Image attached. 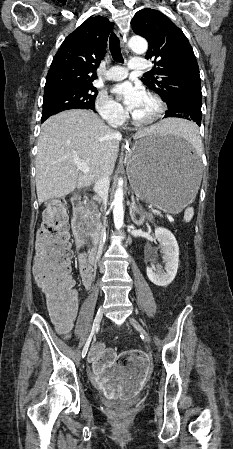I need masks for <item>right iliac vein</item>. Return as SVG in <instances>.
Returning a JSON list of instances; mask_svg holds the SVG:
<instances>
[{
  "label": "right iliac vein",
  "instance_id": "right-iliac-vein-1",
  "mask_svg": "<svg viewBox=\"0 0 233 449\" xmlns=\"http://www.w3.org/2000/svg\"><path fill=\"white\" fill-rule=\"evenodd\" d=\"M102 317H103V308H100V309L98 310L97 314H96V317H95V320H94V323H93L92 330L94 329V326H95V330H96V328L99 326V323H100L101 320H102ZM95 330H94V331H95ZM88 340H89V338L87 339L86 344H87ZM86 344H85V345H86ZM84 347H85V346H84Z\"/></svg>",
  "mask_w": 233,
  "mask_h": 449
}]
</instances>
